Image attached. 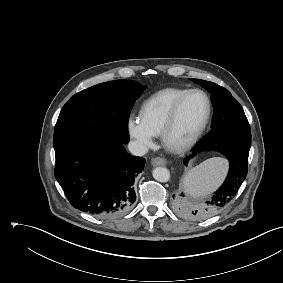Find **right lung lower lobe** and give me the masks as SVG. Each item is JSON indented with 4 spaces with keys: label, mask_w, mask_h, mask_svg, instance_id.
<instances>
[{
    "label": "right lung lower lobe",
    "mask_w": 283,
    "mask_h": 283,
    "mask_svg": "<svg viewBox=\"0 0 283 283\" xmlns=\"http://www.w3.org/2000/svg\"><path fill=\"white\" fill-rule=\"evenodd\" d=\"M55 177L73 207L99 217L128 211L136 200L135 177L145 159L128 154L106 135L81 137L55 151Z\"/></svg>",
    "instance_id": "right-lung-lower-lobe-1"
}]
</instances>
